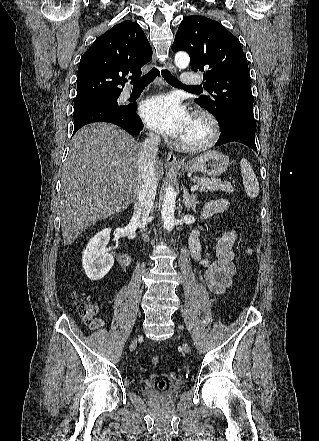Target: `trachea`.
I'll use <instances>...</instances> for the list:
<instances>
[{"mask_svg":"<svg viewBox=\"0 0 319 441\" xmlns=\"http://www.w3.org/2000/svg\"><path fill=\"white\" fill-rule=\"evenodd\" d=\"M161 74H162L163 78L172 86L181 87V88H185V89H199V87L183 85L168 70H161ZM158 75H160V71L157 68H153L151 71H149L143 77L131 81V84L133 85L134 88L146 87Z\"/></svg>","mask_w":319,"mask_h":441,"instance_id":"3493384b","label":"trachea"}]
</instances>
